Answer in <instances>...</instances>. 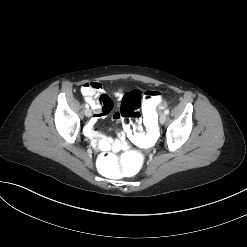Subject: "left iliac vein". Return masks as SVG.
<instances>
[{"label":"left iliac vein","instance_id":"4c4485c4","mask_svg":"<svg viewBox=\"0 0 247 247\" xmlns=\"http://www.w3.org/2000/svg\"><path fill=\"white\" fill-rule=\"evenodd\" d=\"M166 118H167V117H166V114H165V113L160 114L159 122H160L161 124L165 123Z\"/></svg>","mask_w":247,"mask_h":247}]
</instances>
